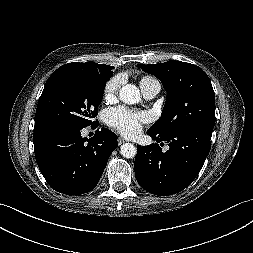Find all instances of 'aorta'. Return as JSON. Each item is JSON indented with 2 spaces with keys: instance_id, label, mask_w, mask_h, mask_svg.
Wrapping results in <instances>:
<instances>
[{
  "instance_id": "1",
  "label": "aorta",
  "mask_w": 253,
  "mask_h": 253,
  "mask_svg": "<svg viewBox=\"0 0 253 253\" xmlns=\"http://www.w3.org/2000/svg\"><path fill=\"white\" fill-rule=\"evenodd\" d=\"M119 98L126 104H136L140 102V91L133 84L124 85L119 91ZM137 153L136 147L131 143H125L120 147V154L125 158H133Z\"/></svg>"
}]
</instances>
